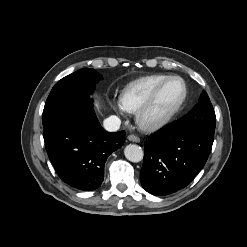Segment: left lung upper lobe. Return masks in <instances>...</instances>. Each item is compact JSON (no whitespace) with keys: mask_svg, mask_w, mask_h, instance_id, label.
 <instances>
[{"mask_svg":"<svg viewBox=\"0 0 247 247\" xmlns=\"http://www.w3.org/2000/svg\"><path fill=\"white\" fill-rule=\"evenodd\" d=\"M180 128L190 131L214 133L216 116L206 92H203L199 103L183 118L177 120Z\"/></svg>","mask_w":247,"mask_h":247,"instance_id":"left-lung-upper-lobe-1","label":"left lung upper lobe"}]
</instances>
